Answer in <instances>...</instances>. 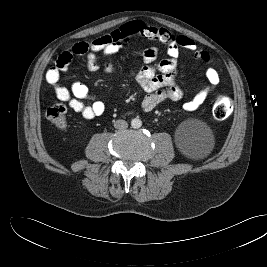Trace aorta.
Listing matches in <instances>:
<instances>
[{
  "label": "aorta",
  "instance_id": "obj_1",
  "mask_svg": "<svg viewBox=\"0 0 267 267\" xmlns=\"http://www.w3.org/2000/svg\"><path fill=\"white\" fill-rule=\"evenodd\" d=\"M131 126L134 129H138L142 126V121L139 118H134L131 120Z\"/></svg>",
  "mask_w": 267,
  "mask_h": 267
}]
</instances>
